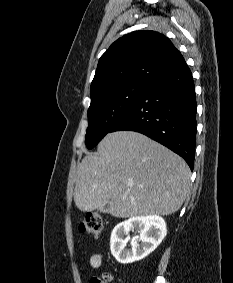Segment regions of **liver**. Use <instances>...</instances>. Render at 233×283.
Returning <instances> with one entry per match:
<instances>
[{"label":"liver","mask_w":233,"mask_h":283,"mask_svg":"<svg viewBox=\"0 0 233 283\" xmlns=\"http://www.w3.org/2000/svg\"><path fill=\"white\" fill-rule=\"evenodd\" d=\"M191 172L177 154L134 131L108 133L77 170L74 202L118 218L171 215L182 206Z\"/></svg>","instance_id":"1"}]
</instances>
